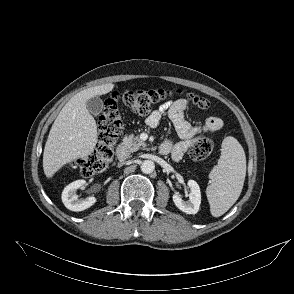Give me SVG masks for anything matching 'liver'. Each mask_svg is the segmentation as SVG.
I'll list each match as a JSON object with an SVG mask.
<instances>
[{
  "label": "liver",
  "instance_id": "6515ba94",
  "mask_svg": "<svg viewBox=\"0 0 294 294\" xmlns=\"http://www.w3.org/2000/svg\"><path fill=\"white\" fill-rule=\"evenodd\" d=\"M113 88L112 83L88 88L73 96L62 108L44 148L43 170L47 178H52L65 164L93 153L98 133L86 102L109 93Z\"/></svg>",
  "mask_w": 294,
  "mask_h": 294
}]
</instances>
